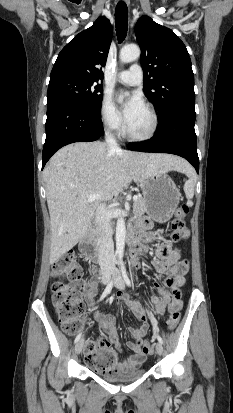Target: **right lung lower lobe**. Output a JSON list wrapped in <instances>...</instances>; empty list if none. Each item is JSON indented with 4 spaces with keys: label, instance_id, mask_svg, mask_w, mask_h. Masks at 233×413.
Instances as JSON below:
<instances>
[{
    "label": "right lung lower lobe",
    "instance_id": "1",
    "mask_svg": "<svg viewBox=\"0 0 233 413\" xmlns=\"http://www.w3.org/2000/svg\"><path fill=\"white\" fill-rule=\"evenodd\" d=\"M104 133L101 114H94L71 102L47 104L46 140L42 169L61 147L74 142H90Z\"/></svg>",
    "mask_w": 233,
    "mask_h": 413
}]
</instances>
